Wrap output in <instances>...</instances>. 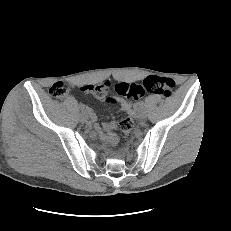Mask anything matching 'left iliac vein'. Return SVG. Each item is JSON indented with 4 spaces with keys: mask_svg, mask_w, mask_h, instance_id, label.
Masks as SVG:
<instances>
[{
    "mask_svg": "<svg viewBox=\"0 0 231 231\" xmlns=\"http://www.w3.org/2000/svg\"><path fill=\"white\" fill-rule=\"evenodd\" d=\"M138 116L140 119H144L146 117V112L144 110H140Z\"/></svg>",
    "mask_w": 231,
    "mask_h": 231,
    "instance_id": "obj_1",
    "label": "left iliac vein"
}]
</instances>
